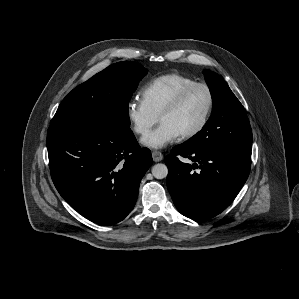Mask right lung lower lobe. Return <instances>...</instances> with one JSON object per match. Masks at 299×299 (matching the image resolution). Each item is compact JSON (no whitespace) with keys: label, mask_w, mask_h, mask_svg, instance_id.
<instances>
[{"label":"right lung lower lobe","mask_w":299,"mask_h":299,"mask_svg":"<svg viewBox=\"0 0 299 299\" xmlns=\"http://www.w3.org/2000/svg\"><path fill=\"white\" fill-rule=\"evenodd\" d=\"M49 167L60 195L82 216L101 225L123 220L133 209L139 184L152 165L130 127L113 123L52 128Z\"/></svg>","instance_id":"98d812e1"}]
</instances>
